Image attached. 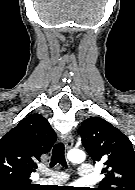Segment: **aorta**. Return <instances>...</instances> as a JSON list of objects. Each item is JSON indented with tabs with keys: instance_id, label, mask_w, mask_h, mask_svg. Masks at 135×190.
<instances>
[{
	"instance_id": "aorta-1",
	"label": "aorta",
	"mask_w": 135,
	"mask_h": 190,
	"mask_svg": "<svg viewBox=\"0 0 135 190\" xmlns=\"http://www.w3.org/2000/svg\"><path fill=\"white\" fill-rule=\"evenodd\" d=\"M68 160L73 163H80L85 160V153L78 149H73L67 154Z\"/></svg>"
}]
</instances>
